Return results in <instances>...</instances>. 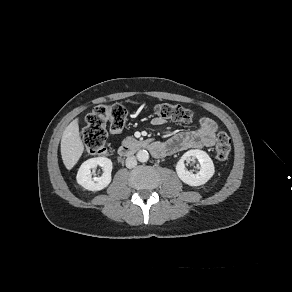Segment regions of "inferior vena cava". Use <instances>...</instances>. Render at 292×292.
I'll return each mask as SVG.
<instances>
[{
    "instance_id": "1",
    "label": "inferior vena cava",
    "mask_w": 292,
    "mask_h": 292,
    "mask_svg": "<svg viewBox=\"0 0 292 292\" xmlns=\"http://www.w3.org/2000/svg\"><path fill=\"white\" fill-rule=\"evenodd\" d=\"M137 165V159L135 156H129L126 159V167L131 169Z\"/></svg>"
}]
</instances>
